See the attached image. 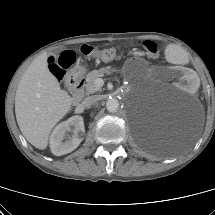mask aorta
Returning <instances> with one entry per match:
<instances>
[{
  "mask_svg": "<svg viewBox=\"0 0 215 215\" xmlns=\"http://www.w3.org/2000/svg\"><path fill=\"white\" fill-rule=\"evenodd\" d=\"M106 108L109 112H116L119 108V102L116 99H110L106 103Z\"/></svg>",
  "mask_w": 215,
  "mask_h": 215,
  "instance_id": "1",
  "label": "aorta"
}]
</instances>
